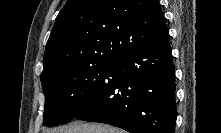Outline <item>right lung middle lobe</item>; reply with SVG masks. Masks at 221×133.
Segmentation results:
<instances>
[{"label":"right lung middle lobe","mask_w":221,"mask_h":133,"mask_svg":"<svg viewBox=\"0 0 221 133\" xmlns=\"http://www.w3.org/2000/svg\"><path fill=\"white\" fill-rule=\"evenodd\" d=\"M111 67L112 63L74 64L41 76L45 94L43 125L52 127L72 120L99 88Z\"/></svg>","instance_id":"right-lung-middle-lobe-1"}]
</instances>
